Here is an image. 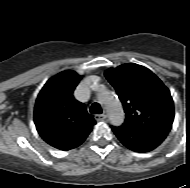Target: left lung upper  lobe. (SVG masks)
I'll return each instance as SVG.
<instances>
[{"label": "left lung upper lobe", "mask_w": 190, "mask_h": 188, "mask_svg": "<svg viewBox=\"0 0 190 188\" xmlns=\"http://www.w3.org/2000/svg\"><path fill=\"white\" fill-rule=\"evenodd\" d=\"M115 88L131 127L168 133L174 112L170 92L149 69L134 63L110 68L105 72Z\"/></svg>", "instance_id": "5c2ea615"}]
</instances>
